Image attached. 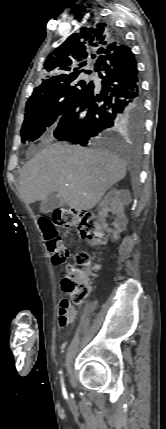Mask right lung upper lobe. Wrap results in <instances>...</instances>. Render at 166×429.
<instances>
[{
  "label": "right lung upper lobe",
  "mask_w": 166,
  "mask_h": 429,
  "mask_svg": "<svg viewBox=\"0 0 166 429\" xmlns=\"http://www.w3.org/2000/svg\"><path fill=\"white\" fill-rule=\"evenodd\" d=\"M121 46L113 32H107L101 27L82 28L80 33L70 35L47 57L42 68L43 82L33 93L81 72L89 74L91 71L81 69L87 61L95 59L96 62L100 56L113 53Z\"/></svg>",
  "instance_id": "obj_1"
}]
</instances>
